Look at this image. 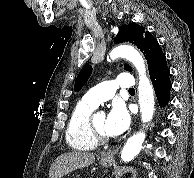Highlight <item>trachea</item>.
<instances>
[{
    "label": "trachea",
    "instance_id": "obj_1",
    "mask_svg": "<svg viewBox=\"0 0 194 178\" xmlns=\"http://www.w3.org/2000/svg\"><path fill=\"white\" fill-rule=\"evenodd\" d=\"M129 92H135L134 88H130Z\"/></svg>",
    "mask_w": 194,
    "mask_h": 178
}]
</instances>
